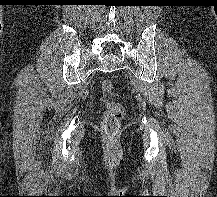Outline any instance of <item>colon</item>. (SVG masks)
I'll use <instances>...</instances> for the list:
<instances>
[{"label":"colon","instance_id":"1","mask_svg":"<svg viewBox=\"0 0 217 197\" xmlns=\"http://www.w3.org/2000/svg\"><path fill=\"white\" fill-rule=\"evenodd\" d=\"M112 88L113 85L110 80L102 81L101 91L104 95L105 105L107 107V112L102 122V130L108 139H112L118 134L125 116L124 107L109 98Z\"/></svg>","mask_w":217,"mask_h":197}]
</instances>
